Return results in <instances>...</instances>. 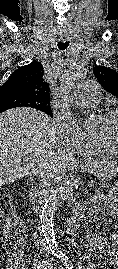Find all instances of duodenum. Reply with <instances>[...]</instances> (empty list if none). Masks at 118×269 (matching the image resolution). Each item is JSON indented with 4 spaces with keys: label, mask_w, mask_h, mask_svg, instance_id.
<instances>
[{
    "label": "duodenum",
    "mask_w": 118,
    "mask_h": 269,
    "mask_svg": "<svg viewBox=\"0 0 118 269\" xmlns=\"http://www.w3.org/2000/svg\"><path fill=\"white\" fill-rule=\"evenodd\" d=\"M82 219V213L76 212V214L68 221L63 223L64 230L69 233L77 229Z\"/></svg>",
    "instance_id": "1"
}]
</instances>
